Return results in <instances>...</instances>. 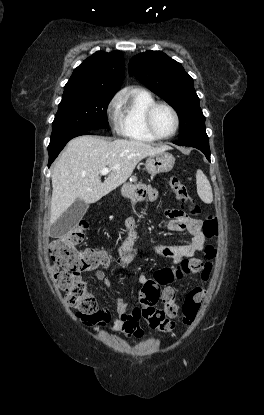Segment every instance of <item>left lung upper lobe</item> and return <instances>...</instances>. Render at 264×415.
<instances>
[{"instance_id": "obj_1", "label": "left lung upper lobe", "mask_w": 264, "mask_h": 415, "mask_svg": "<svg viewBox=\"0 0 264 415\" xmlns=\"http://www.w3.org/2000/svg\"><path fill=\"white\" fill-rule=\"evenodd\" d=\"M129 74L176 110L180 122L179 140L207 135L205 116L199 106L193 79L180 63L161 51H147L130 60Z\"/></svg>"}]
</instances>
